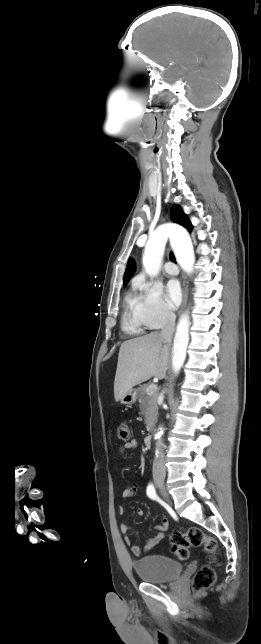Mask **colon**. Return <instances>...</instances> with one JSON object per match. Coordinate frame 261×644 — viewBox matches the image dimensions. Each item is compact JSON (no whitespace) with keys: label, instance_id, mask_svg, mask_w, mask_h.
I'll return each instance as SVG.
<instances>
[{"label":"colon","instance_id":"colon-1","mask_svg":"<svg viewBox=\"0 0 261 644\" xmlns=\"http://www.w3.org/2000/svg\"><path fill=\"white\" fill-rule=\"evenodd\" d=\"M118 438L121 440H128L130 438L129 426L126 423H121L118 426ZM172 552L181 560H185L189 556L190 547L202 546L204 550L210 555V560L213 559L212 555L217 549V542L214 538L207 536L201 529L196 527L189 528L186 532H174L170 537ZM216 576L213 568L209 565L202 567L194 576L193 589L197 592L203 591L213 585Z\"/></svg>","mask_w":261,"mask_h":644}]
</instances>
